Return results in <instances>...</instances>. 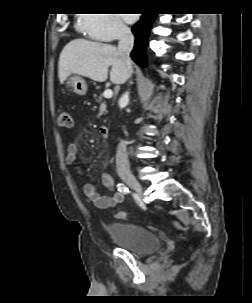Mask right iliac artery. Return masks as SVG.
I'll list each match as a JSON object with an SVG mask.
<instances>
[{
  "label": "right iliac artery",
  "mask_w": 252,
  "mask_h": 303,
  "mask_svg": "<svg viewBox=\"0 0 252 303\" xmlns=\"http://www.w3.org/2000/svg\"><path fill=\"white\" fill-rule=\"evenodd\" d=\"M117 187H118V190L121 191V192H123L124 194H127V193L129 192V189H128L127 186H126L125 184H123V183H119V184L117 185Z\"/></svg>",
  "instance_id": "right-iliac-artery-1"
}]
</instances>
